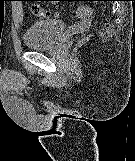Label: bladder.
<instances>
[{"label": "bladder", "instance_id": "1", "mask_svg": "<svg viewBox=\"0 0 135 161\" xmlns=\"http://www.w3.org/2000/svg\"><path fill=\"white\" fill-rule=\"evenodd\" d=\"M65 32L63 22L55 19L34 22L24 34L25 47L30 50H43L55 46Z\"/></svg>", "mask_w": 135, "mask_h": 161}]
</instances>
